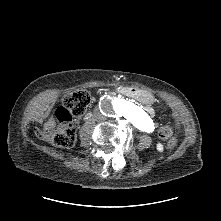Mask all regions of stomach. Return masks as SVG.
Listing matches in <instances>:
<instances>
[{
  "label": "stomach",
  "instance_id": "obj_1",
  "mask_svg": "<svg viewBox=\"0 0 221 221\" xmlns=\"http://www.w3.org/2000/svg\"><path fill=\"white\" fill-rule=\"evenodd\" d=\"M130 93L141 100H145L146 98L151 97L150 93L139 90V89H132L130 90Z\"/></svg>",
  "mask_w": 221,
  "mask_h": 221
}]
</instances>
